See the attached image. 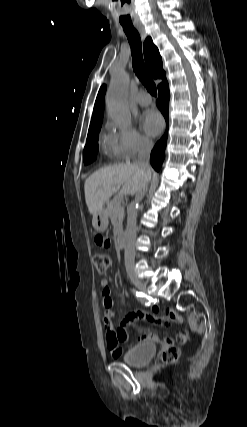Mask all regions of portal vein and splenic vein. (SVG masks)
Returning a JSON list of instances; mask_svg holds the SVG:
<instances>
[{
  "mask_svg": "<svg viewBox=\"0 0 247 427\" xmlns=\"http://www.w3.org/2000/svg\"><path fill=\"white\" fill-rule=\"evenodd\" d=\"M125 193L120 192L118 196L115 197V201H122Z\"/></svg>",
  "mask_w": 247,
  "mask_h": 427,
  "instance_id": "portal-vein-and-splenic-vein-1",
  "label": "portal vein and splenic vein"
}]
</instances>
